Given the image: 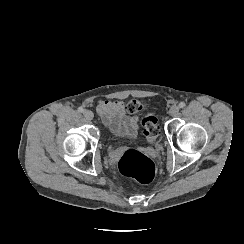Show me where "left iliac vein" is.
<instances>
[{"instance_id":"left-iliac-vein-1","label":"left iliac vein","mask_w":244,"mask_h":244,"mask_svg":"<svg viewBox=\"0 0 244 244\" xmlns=\"http://www.w3.org/2000/svg\"><path fill=\"white\" fill-rule=\"evenodd\" d=\"M178 113H179V107H178V106H172V107L169 109V114H170L171 116H176Z\"/></svg>"}]
</instances>
